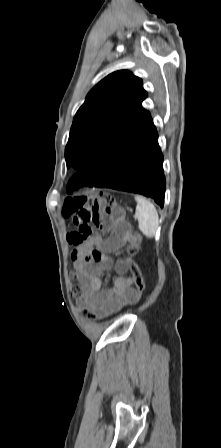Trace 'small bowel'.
<instances>
[{
	"instance_id": "obj_1",
	"label": "small bowel",
	"mask_w": 221,
	"mask_h": 448,
	"mask_svg": "<svg viewBox=\"0 0 221 448\" xmlns=\"http://www.w3.org/2000/svg\"><path fill=\"white\" fill-rule=\"evenodd\" d=\"M112 233L110 237L95 235L85 240L81 239L77 230L69 231L66 235L68 244L73 247L71 256L82 284L80 304L98 318H106L137 300L133 277L129 274L127 264L122 260L114 261L111 257L112 253L132 242L133 236L120 225L114 226ZM94 246L102 252V257L97 263L85 259L86 254ZM112 268L118 276L113 279L111 289H104L101 274Z\"/></svg>"
}]
</instances>
